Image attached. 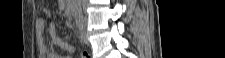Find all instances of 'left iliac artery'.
Listing matches in <instances>:
<instances>
[{"label": "left iliac artery", "instance_id": "left-iliac-artery-1", "mask_svg": "<svg viewBox=\"0 0 225 58\" xmlns=\"http://www.w3.org/2000/svg\"><path fill=\"white\" fill-rule=\"evenodd\" d=\"M76 24H77V26H78L79 28L82 26V24H81V17H80V16L77 17V19H76Z\"/></svg>", "mask_w": 225, "mask_h": 58}]
</instances>
